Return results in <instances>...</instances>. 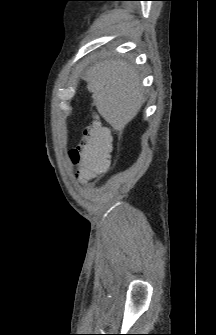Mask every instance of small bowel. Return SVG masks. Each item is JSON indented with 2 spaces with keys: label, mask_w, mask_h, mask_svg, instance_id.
<instances>
[{
  "label": "small bowel",
  "mask_w": 216,
  "mask_h": 335,
  "mask_svg": "<svg viewBox=\"0 0 216 335\" xmlns=\"http://www.w3.org/2000/svg\"><path fill=\"white\" fill-rule=\"evenodd\" d=\"M102 173V172H99ZM81 182H88L91 178H79Z\"/></svg>",
  "instance_id": "1"
}]
</instances>
